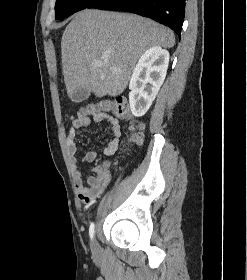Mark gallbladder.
Wrapping results in <instances>:
<instances>
[{"mask_svg":"<svg viewBox=\"0 0 247 280\" xmlns=\"http://www.w3.org/2000/svg\"><path fill=\"white\" fill-rule=\"evenodd\" d=\"M90 96V90L86 88L78 89L73 95V101L81 102L86 100Z\"/></svg>","mask_w":247,"mask_h":280,"instance_id":"bac80fb5","label":"gallbladder"}]
</instances>
